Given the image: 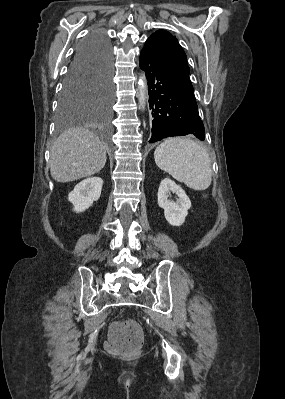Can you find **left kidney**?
Masks as SVG:
<instances>
[{
    "instance_id": "1",
    "label": "left kidney",
    "mask_w": 285,
    "mask_h": 399,
    "mask_svg": "<svg viewBox=\"0 0 285 399\" xmlns=\"http://www.w3.org/2000/svg\"><path fill=\"white\" fill-rule=\"evenodd\" d=\"M170 192L178 196L176 202L168 199ZM158 205L164 209V215L169 224L181 226L188 215L191 201L179 185L166 178L161 181L158 189Z\"/></svg>"
}]
</instances>
